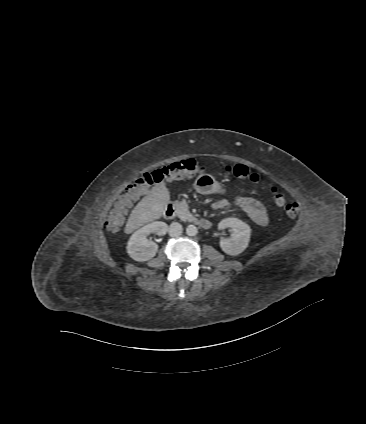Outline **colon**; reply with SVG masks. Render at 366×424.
<instances>
[{
    "label": "colon",
    "instance_id": "colon-1",
    "mask_svg": "<svg viewBox=\"0 0 366 424\" xmlns=\"http://www.w3.org/2000/svg\"><path fill=\"white\" fill-rule=\"evenodd\" d=\"M202 171L201 163L198 159H186L167 165L163 168L143 173L125 191V194L116 202L110 211L105 226L108 230L116 231L121 226L124 219V212L132 200L137 198L144 190L154 184L163 181H172L193 177ZM225 171L238 178L245 179L252 183H258L260 176L250 171L245 165H228ZM270 192L274 202L278 207L284 209L285 214L292 218L298 214V205L294 202L287 203L284 195L276 187H271Z\"/></svg>",
    "mask_w": 366,
    "mask_h": 424
}]
</instances>
